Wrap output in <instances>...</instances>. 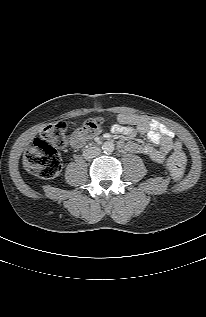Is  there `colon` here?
<instances>
[{
  "label": "colon",
  "mask_w": 206,
  "mask_h": 317,
  "mask_svg": "<svg viewBox=\"0 0 206 317\" xmlns=\"http://www.w3.org/2000/svg\"><path fill=\"white\" fill-rule=\"evenodd\" d=\"M102 119H88L75 132L78 140H86L99 133ZM68 140V127L65 122H57L45 127L40 136L35 138L23 159L25 169L40 178L52 179L62 171V159L58 152ZM186 156L182 151H175L167 161V167L175 179H181L185 173Z\"/></svg>",
  "instance_id": "1"
}]
</instances>
